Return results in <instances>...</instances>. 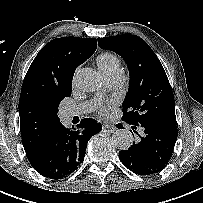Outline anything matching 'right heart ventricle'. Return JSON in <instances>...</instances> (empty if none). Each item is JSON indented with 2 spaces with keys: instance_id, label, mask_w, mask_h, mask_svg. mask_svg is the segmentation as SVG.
<instances>
[{
  "instance_id": "1",
  "label": "right heart ventricle",
  "mask_w": 203,
  "mask_h": 203,
  "mask_svg": "<svg viewBox=\"0 0 203 203\" xmlns=\"http://www.w3.org/2000/svg\"><path fill=\"white\" fill-rule=\"evenodd\" d=\"M99 70L108 77L121 73V61L119 57L111 52H103L96 58Z\"/></svg>"
}]
</instances>
